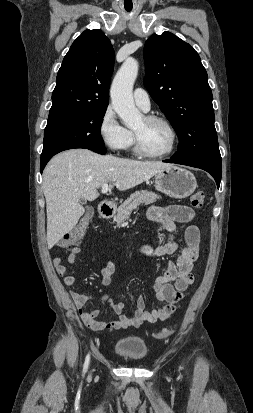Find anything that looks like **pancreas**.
<instances>
[{
    "mask_svg": "<svg viewBox=\"0 0 253 413\" xmlns=\"http://www.w3.org/2000/svg\"><path fill=\"white\" fill-rule=\"evenodd\" d=\"M159 198L157 194L147 190L137 191L131 194V196L118 207L114 222L120 225L137 206L140 204L148 205L154 203Z\"/></svg>",
    "mask_w": 253,
    "mask_h": 413,
    "instance_id": "cf45deb5",
    "label": "pancreas"
}]
</instances>
